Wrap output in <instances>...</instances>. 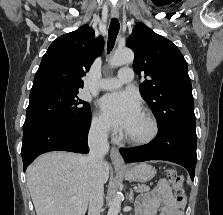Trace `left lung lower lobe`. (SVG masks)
I'll return each mask as SVG.
<instances>
[{
  "label": "left lung lower lobe",
  "instance_id": "left-lung-lower-lobe-1",
  "mask_svg": "<svg viewBox=\"0 0 223 215\" xmlns=\"http://www.w3.org/2000/svg\"><path fill=\"white\" fill-rule=\"evenodd\" d=\"M197 135L195 126L171 125L158 129L149 144L135 148H121L120 153L128 163L148 160H166L185 167L194 180Z\"/></svg>",
  "mask_w": 223,
  "mask_h": 215
}]
</instances>
